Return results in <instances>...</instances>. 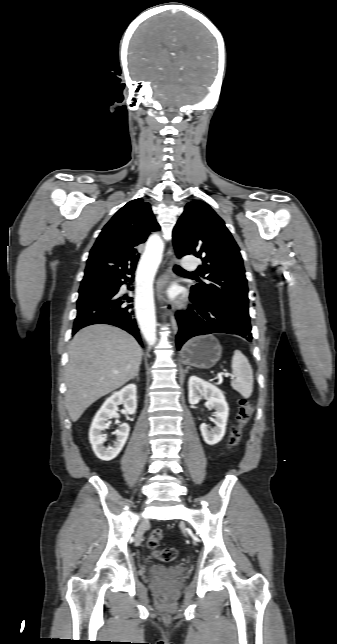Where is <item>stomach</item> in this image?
<instances>
[{
  "mask_svg": "<svg viewBox=\"0 0 337 644\" xmlns=\"http://www.w3.org/2000/svg\"><path fill=\"white\" fill-rule=\"evenodd\" d=\"M222 355V347L212 335L191 339L182 349L180 357L185 365L199 369H210L216 365Z\"/></svg>",
  "mask_w": 337,
  "mask_h": 644,
  "instance_id": "stomach-1",
  "label": "stomach"
}]
</instances>
